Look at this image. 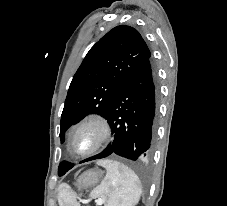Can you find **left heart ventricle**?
I'll use <instances>...</instances> for the list:
<instances>
[{
	"instance_id": "1",
	"label": "left heart ventricle",
	"mask_w": 227,
	"mask_h": 206,
	"mask_svg": "<svg viewBox=\"0 0 227 206\" xmlns=\"http://www.w3.org/2000/svg\"><path fill=\"white\" fill-rule=\"evenodd\" d=\"M95 136V131L92 128L81 130L73 138L74 149L79 152L89 149L94 143Z\"/></svg>"
}]
</instances>
